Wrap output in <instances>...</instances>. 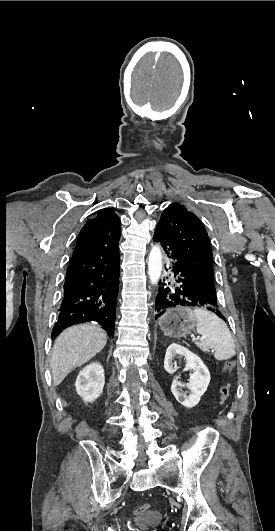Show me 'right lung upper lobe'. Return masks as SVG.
<instances>
[{
  "instance_id": "cb5924a9",
  "label": "right lung upper lobe",
  "mask_w": 275,
  "mask_h": 531,
  "mask_svg": "<svg viewBox=\"0 0 275 531\" xmlns=\"http://www.w3.org/2000/svg\"><path fill=\"white\" fill-rule=\"evenodd\" d=\"M120 225L119 217L113 210H102L96 218L89 220L81 229L77 244L102 235H119L121 234Z\"/></svg>"
}]
</instances>
